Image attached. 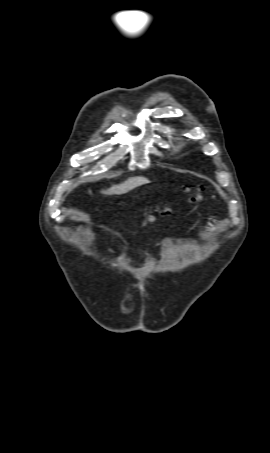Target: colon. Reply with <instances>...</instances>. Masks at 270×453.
<instances>
[{
  "mask_svg": "<svg viewBox=\"0 0 270 453\" xmlns=\"http://www.w3.org/2000/svg\"><path fill=\"white\" fill-rule=\"evenodd\" d=\"M185 192L189 194V199L192 202L201 201L203 199V195L201 194V188L199 187H186ZM160 215H167L170 213V208L164 203L159 207ZM147 221H152L153 216L148 215Z\"/></svg>",
  "mask_w": 270,
  "mask_h": 453,
  "instance_id": "colon-1",
  "label": "colon"
}]
</instances>
